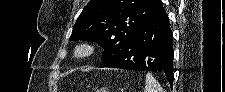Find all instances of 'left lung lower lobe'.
<instances>
[{
  "label": "left lung lower lobe",
  "mask_w": 225,
  "mask_h": 92,
  "mask_svg": "<svg viewBox=\"0 0 225 92\" xmlns=\"http://www.w3.org/2000/svg\"><path fill=\"white\" fill-rule=\"evenodd\" d=\"M172 36L169 18L162 9L100 67L162 71L172 86L174 54Z\"/></svg>",
  "instance_id": "obj_1"
}]
</instances>
